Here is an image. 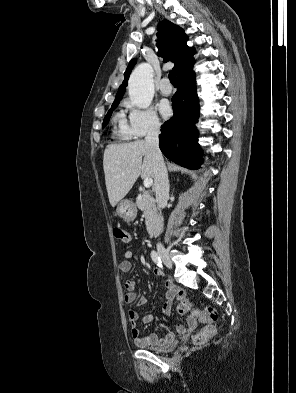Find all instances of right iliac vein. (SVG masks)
<instances>
[{"instance_id":"obj_1","label":"right iliac vein","mask_w":296,"mask_h":393,"mask_svg":"<svg viewBox=\"0 0 296 393\" xmlns=\"http://www.w3.org/2000/svg\"><path fill=\"white\" fill-rule=\"evenodd\" d=\"M158 253L160 258L162 259L163 263L168 267V268H172V261L170 259V255L168 253V251L165 248H159L158 249Z\"/></svg>"}]
</instances>
